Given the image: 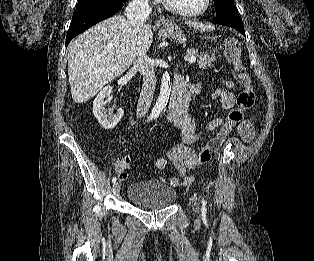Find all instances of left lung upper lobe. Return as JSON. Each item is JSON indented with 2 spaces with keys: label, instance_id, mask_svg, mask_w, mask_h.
<instances>
[{
  "label": "left lung upper lobe",
  "instance_id": "1",
  "mask_svg": "<svg viewBox=\"0 0 314 261\" xmlns=\"http://www.w3.org/2000/svg\"><path fill=\"white\" fill-rule=\"evenodd\" d=\"M216 18L213 21L215 24L225 26L243 27L240 16L234 5V0H214Z\"/></svg>",
  "mask_w": 314,
  "mask_h": 261
}]
</instances>
